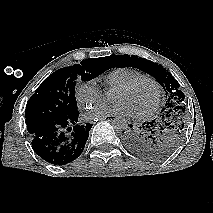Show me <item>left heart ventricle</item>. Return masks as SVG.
Wrapping results in <instances>:
<instances>
[{"label":"left heart ventricle","instance_id":"b2bd125f","mask_svg":"<svg viewBox=\"0 0 213 213\" xmlns=\"http://www.w3.org/2000/svg\"><path fill=\"white\" fill-rule=\"evenodd\" d=\"M112 98L115 102H125L133 113H139L153 105L156 98V89L151 83H143L129 90L116 89Z\"/></svg>","mask_w":213,"mask_h":213}]
</instances>
